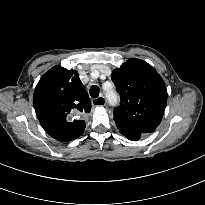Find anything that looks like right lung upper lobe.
<instances>
[{
  "label": "right lung upper lobe",
  "mask_w": 205,
  "mask_h": 205,
  "mask_svg": "<svg viewBox=\"0 0 205 205\" xmlns=\"http://www.w3.org/2000/svg\"><path fill=\"white\" fill-rule=\"evenodd\" d=\"M36 115L44 130L55 129L54 138L71 141L79 137L85 122L79 116L89 113L91 102L75 70L55 66L39 80L33 96Z\"/></svg>",
  "instance_id": "cb5924a9"
}]
</instances>
